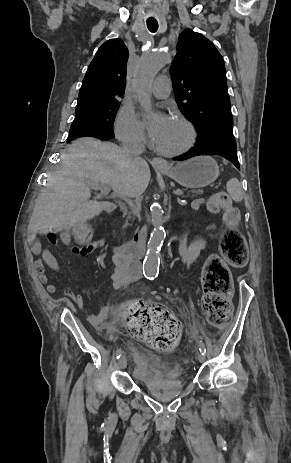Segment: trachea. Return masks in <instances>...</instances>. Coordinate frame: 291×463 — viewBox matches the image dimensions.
<instances>
[{"instance_id":"trachea-1","label":"trachea","mask_w":291,"mask_h":463,"mask_svg":"<svg viewBox=\"0 0 291 463\" xmlns=\"http://www.w3.org/2000/svg\"><path fill=\"white\" fill-rule=\"evenodd\" d=\"M147 27L150 32L154 33L158 30V22L156 21H147Z\"/></svg>"}]
</instances>
